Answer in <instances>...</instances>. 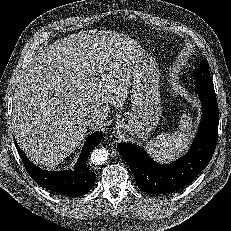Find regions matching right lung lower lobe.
<instances>
[{"label":"right lung lower lobe","mask_w":231,"mask_h":231,"mask_svg":"<svg viewBox=\"0 0 231 231\" xmlns=\"http://www.w3.org/2000/svg\"><path fill=\"white\" fill-rule=\"evenodd\" d=\"M103 133L95 132L87 138L80 158L73 170L44 171L34 165L23 153L15 141V146L23 161L26 171L40 186L56 193L69 196H81L88 193L95 184V174L87 167V158L90 152L102 140Z\"/></svg>","instance_id":"right-lung-lower-lobe-1"}]
</instances>
